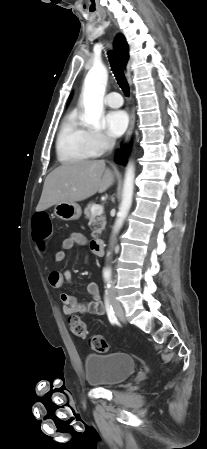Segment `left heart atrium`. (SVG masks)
<instances>
[{"label": "left heart atrium", "instance_id": "39dd6f15", "mask_svg": "<svg viewBox=\"0 0 207 449\" xmlns=\"http://www.w3.org/2000/svg\"><path fill=\"white\" fill-rule=\"evenodd\" d=\"M129 117L125 111H111L105 116V128L111 137L121 136L127 129Z\"/></svg>", "mask_w": 207, "mask_h": 449}]
</instances>
